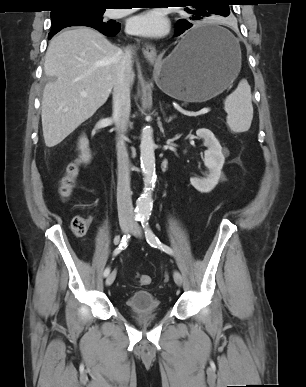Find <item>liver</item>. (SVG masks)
<instances>
[{"label":"liver","mask_w":306,"mask_h":387,"mask_svg":"<svg viewBox=\"0 0 306 387\" xmlns=\"http://www.w3.org/2000/svg\"><path fill=\"white\" fill-rule=\"evenodd\" d=\"M122 55L104 35L87 27L65 30L50 41L44 72L53 80L45 85L41 105L47 147L61 143L107 101Z\"/></svg>","instance_id":"1"}]
</instances>
